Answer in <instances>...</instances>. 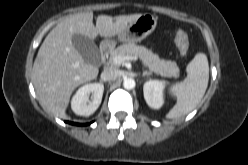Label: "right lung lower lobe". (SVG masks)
<instances>
[{"label":"right lung lower lobe","instance_id":"1","mask_svg":"<svg viewBox=\"0 0 248 165\" xmlns=\"http://www.w3.org/2000/svg\"><path fill=\"white\" fill-rule=\"evenodd\" d=\"M69 124H73V125H79L77 123H74V122H68Z\"/></svg>","mask_w":248,"mask_h":165}]
</instances>
